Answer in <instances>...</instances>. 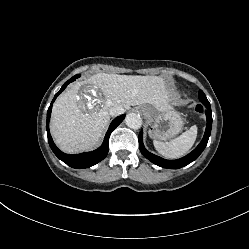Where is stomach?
<instances>
[{
    "label": "stomach",
    "mask_w": 249,
    "mask_h": 249,
    "mask_svg": "<svg viewBox=\"0 0 249 249\" xmlns=\"http://www.w3.org/2000/svg\"><path fill=\"white\" fill-rule=\"evenodd\" d=\"M144 115L152 121L149 135L153 139L167 140L181 132L184 122L181 115L172 109L165 112L156 111L151 107H142Z\"/></svg>",
    "instance_id": "obj_1"
}]
</instances>
